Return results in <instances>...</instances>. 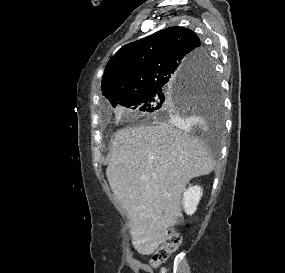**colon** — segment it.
I'll return each instance as SVG.
<instances>
[{"label": "colon", "mask_w": 285, "mask_h": 273, "mask_svg": "<svg viewBox=\"0 0 285 273\" xmlns=\"http://www.w3.org/2000/svg\"><path fill=\"white\" fill-rule=\"evenodd\" d=\"M179 244H180L179 235L177 233L169 234L164 240L159 250H157L152 256L151 259L152 266L155 268L162 267L167 262L170 255L177 249Z\"/></svg>", "instance_id": "colon-1"}]
</instances>
